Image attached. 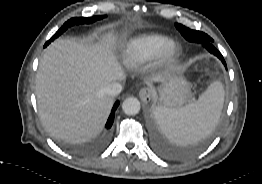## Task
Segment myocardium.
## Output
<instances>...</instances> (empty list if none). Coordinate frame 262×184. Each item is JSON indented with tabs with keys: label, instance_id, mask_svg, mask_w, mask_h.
<instances>
[{
	"label": "myocardium",
	"instance_id": "myocardium-1",
	"mask_svg": "<svg viewBox=\"0 0 262 184\" xmlns=\"http://www.w3.org/2000/svg\"><path fill=\"white\" fill-rule=\"evenodd\" d=\"M180 53V46L176 42H170L162 54L159 56L162 62L173 61Z\"/></svg>",
	"mask_w": 262,
	"mask_h": 184
}]
</instances>
